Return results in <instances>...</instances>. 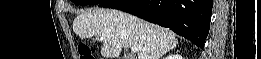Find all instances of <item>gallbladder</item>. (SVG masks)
<instances>
[{"mask_svg":"<svg viewBox=\"0 0 261 59\" xmlns=\"http://www.w3.org/2000/svg\"><path fill=\"white\" fill-rule=\"evenodd\" d=\"M124 58H125V59H131V57H130V56H125Z\"/></svg>","mask_w":261,"mask_h":59,"instance_id":"1","label":"gallbladder"}]
</instances>
